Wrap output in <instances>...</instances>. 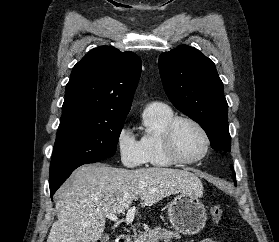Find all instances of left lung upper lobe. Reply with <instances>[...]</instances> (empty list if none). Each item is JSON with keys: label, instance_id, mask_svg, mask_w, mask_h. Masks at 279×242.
<instances>
[{"label": "left lung upper lobe", "instance_id": "left-lung-upper-lobe-1", "mask_svg": "<svg viewBox=\"0 0 279 242\" xmlns=\"http://www.w3.org/2000/svg\"><path fill=\"white\" fill-rule=\"evenodd\" d=\"M159 71L172 104L201 125L213 149L230 152L228 104L212 60L196 48L182 46L160 55Z\"/></svg>", "mask_w": 279, "mask_h": 242}]
</instances>
